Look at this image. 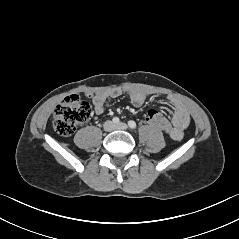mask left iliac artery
Here are the masks:
<instances>
[{
  "label": "left iliac artery",
  "instance_id": "left-iliac-artery-1",
  "mask_svg": "<svg viewBox=\"0 0 239 239\" xmlns=\"http://www.w3.org/2000/svg\"><path fill=\"white\" fill-rule=\"evenodd\" d=\"M128 125H129V127H130L131 129H135V128H136V123H135V121H133V120H130V121L128 122Z\"/></svg>",
  "mask_w": 239,
  "mask_h": 239
}]
</instances>
